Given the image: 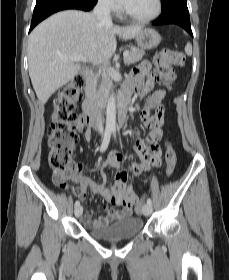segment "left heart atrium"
I'll list each match as a JSON object with an SVG mask.
<instances>
[{
  "label": "left heart atrium",
  "instance_id": "1",
  "mask_svg": "<svg viewBox=\"0 0 229 280\" xmlns=\"http://www.w3.org/2000/svg\"><path fill=\"white\" fill-rule=\"evenodd\" d=\"M128 1H129V0H119V2H120L123 6H125V5L128 3Z\"/></svg>",
  "mask_w": 229,
  "mask_h": 280
}]
</instances>
